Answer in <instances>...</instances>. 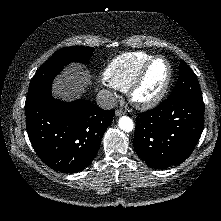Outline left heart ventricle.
Returning a JSON list of instances; mask_svg holds the SVG:
<instances>
[{
    "label": "left heart ventricle",
    "instance_id": "b2bd125f",
    "mask_svg": "<svg viewBox=\"0 0 221 221\" xmlns=\"http://www.w3.org/2000/svg\"><path fill=\"white\" fill-rule=\"evenodd\" d=\"M167 76V65L159 59L149 68L144 82L137 92L140 99H148L156 95L162 88Z\"/></svg>",
    "mask_w": 221,
    "mask_h": 221
}]
</instances>
